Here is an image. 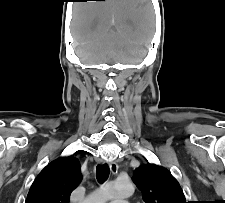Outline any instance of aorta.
I'll use <instances>...</instances> for the list:
<instances>
[{
    "instance_id": "obj_1",
    "label": "aorta",
    "mask_w": 225,
    "mask_h": 203,
    "mask_svg": "<svg viewBox=\"0 0 225 203\" xmlns=\"http://www.w3.org/2000/svg\"><path fill=\"white\" fill-rule=\"evenodd\" d=\"M133 191L134 186L130 181H111L88 195L85 203H107L109 200L128 197Z\"/></svg>"
}]
</instances>
